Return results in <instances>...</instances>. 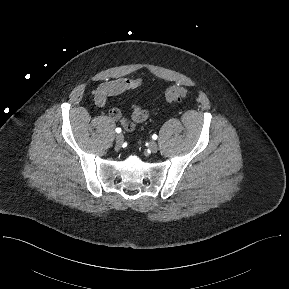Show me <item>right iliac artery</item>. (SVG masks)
I'll list each match as a JSON object with an SVG mask.
<instances>
[{"label":"right iliac artery","mask_w":289,"mask_h":289,"mask_svg":"<svg viewBox=\"0 0 289 289\" xmlns=\"http://www.w3.org/2000/svg\"><path fill=\"white\" fill-rule=\"evenodd\" d=\"M116 132H117V133H120V132H121V128H119V127L116 128Z\"/></svg>","instance_id":"82829eb1"}]
</instances>
